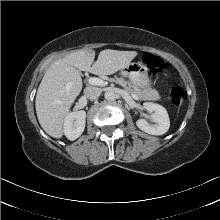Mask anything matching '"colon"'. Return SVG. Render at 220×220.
Listing matches in <instances>:
<instances>
[{"mask_svg":"<svg viewBox=\"0 0 220 220\" xmlns=\"http://www.w3.org/2000/svg\"><path fill=\"white\" fill-rule=\"evenodd\" d=\"M143 63L152 73H157L163 70L164 68L163 59L152 53H146L143 56ZM183 97H184V91L181 87L176 86V87H172L169 90V100L172 105L179 106L183 101Z\"/></svg>","mask_w":220,"mask_h":220,"instance_id":"5ec220e1","label":"colon"}]
</instances>
